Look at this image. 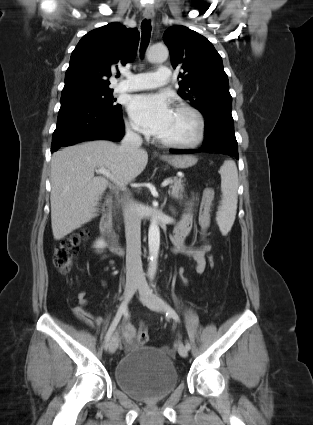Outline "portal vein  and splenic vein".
<instances>
[{"instance_id":"1","label":"portal vein and splenic vein","mask_w":313,"mask_h":425,"mask_svg":"<svg viewBox=\"0 0 313 425\" xmlns=\"http://www.w3.org/2000/svg\"><path fill=\"white\" fill-rule=\"evenodd\" d=\"M97 172H99V173L103 174V175H104V176H106L107 178L111 179L112 181H114L115 183H117L118 185H120V183L114 179L113 175L111 174V172H110L108 169H106V168H104V167H99V168H98V170H97ZM169 184H170V180H168V179H167V180H164V181H163V183H162V187H166V186H167V185H169ZM120 188H121L122 190H125V189H126V188H125L124 186H122V185H120Z\"/></svg>"}]
</instances>
